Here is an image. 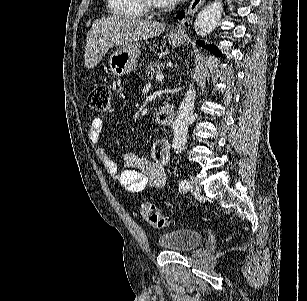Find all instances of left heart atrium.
<instances>
[{"mask_svg": "<svg viewBox=\"0 0 307 301\" xmlns=\"http://www.w3.org/2000/svg\"><path fill=\"white\" fill-rule=\"evenodd\" d=\"M161 4H175L176 0H160Z\"/></svg>", "mask_w": 307, "mask_h": 301, "instance_id": "obj_1", "label": "left heart atrium"}]
</instances>
